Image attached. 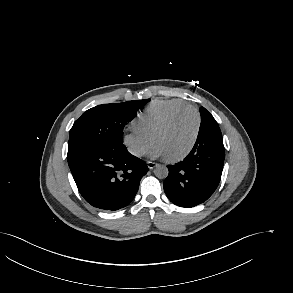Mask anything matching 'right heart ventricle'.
<instances>
[{"label":"right heart ventricle","mask_w":293,"mask_h":293,"mask_svg":"<svg viewBox=\"0 0 293 293\" xmlns=\"http://www.w3.org/2000/svg\"><path fill=\"white\" fill-rule=\"evenodd\" d=\"M189 106L182 99L152 101L133 121V128L147 137L175 110Z\"/></svg>","instance_id":"1"}]
</instances>
